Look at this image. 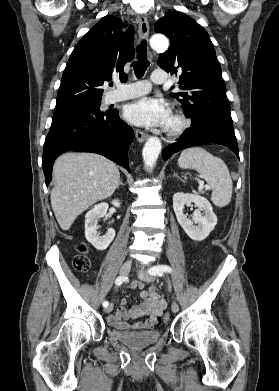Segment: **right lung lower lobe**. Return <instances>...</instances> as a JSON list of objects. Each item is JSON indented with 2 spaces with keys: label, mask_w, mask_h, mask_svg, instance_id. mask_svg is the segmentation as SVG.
Returning a JSON list of instances; mask_svg holds the SVG:
<instances>
[{
  "label": "right lung lower lobe",
  "mask_w": 279,
  "mask_h": 391,
  "mask_svg": "<svg viewBox=\"0 0 279 391\" xmlns=\"http://www.w3.org/2000/svg\"><path fill=\"white\" fill-rule=\"evenodd\" d=\"M133 138V129L120 119L117 110L102 115L81 113L53 117L42 157L46 185L52 180L55 159L67 151L98 153L130 171L127 151Z\"/></svg>",
  "instance_id": "98d812e1"
}]
</instances>
